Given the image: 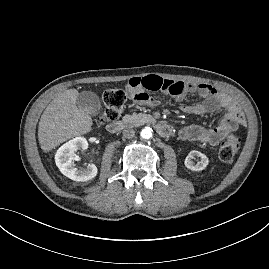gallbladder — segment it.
Instances as JSON below:
<instances>
[{
    "label": "gallbladder",
    "instance_id": "1",
    "mask_svg": "<svg viewBox=\"0 0 269 269\" xmlns=\"http://www.w3.org/2000/svg\"><path fill=\"white\" fill-rule=\"evenodd\" d=\"M76 106L86 113L96 116L101 111L99 97L92 91H83L78 95Z\"/></svg>",
    "mask_w": 269,
    "mask_h": 269
}]
</instances>
